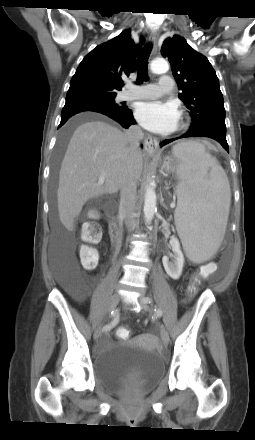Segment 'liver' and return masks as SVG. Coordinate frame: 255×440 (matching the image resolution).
<instances>
[{"label": "liver", "mask_w": 255, "mask_h": 440, "mask_svg": "<svg viewBox=\"0 0 255 440\" xmlns=\"http://www.w3.org/2000/svg\"><path fill=\"white\" fill-rule=\"evenodd\" d=\"M126 134L102 121H88L76 128L63 158L59 172L57 206L61 223L72 230L83 205L103 194H114L132 172L140 179L143 155L140 149L130 163ZM105 173L102 184L99 178Z\"/></svg>", "instance_id": "1"}]
</instances>
